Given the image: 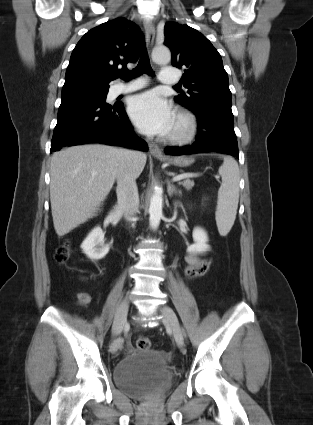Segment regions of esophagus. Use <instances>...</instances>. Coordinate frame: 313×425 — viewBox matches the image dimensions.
<instances>
[{
	"mask_svg": "<svg viewBox=\"0 0 313 425\" xmlns=\"http://www.w3.org/2000/svg\"><path fill=\"white\" fill-rule=\"evenodd\" d=\"M144 28L146 33L147 45L150 48L152 47L154 38H155V27L151 21L146 20L144 22ZM149 151L155 157H158V158L163 157L162 149L159 146H157L155 143L149 142Z\"/></svg>",
	"mask_w": 313,
	"mask_h": 425,
	"instance_id": "1",
	"label": "esophagus"
}]
</instances>
